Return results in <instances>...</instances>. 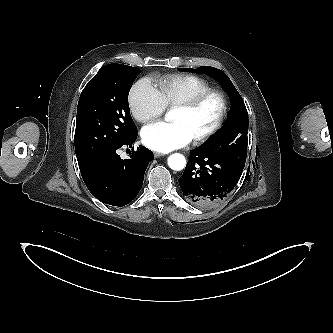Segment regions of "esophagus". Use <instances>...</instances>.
Segmentation results:
<instances>
[{
	"label": "esophagus",
	"mask_w": 333,
	"mask_h": 333,
	"mask_svg": "<svg viewBox=\"0 0 333 333\" xmlns=\"http://www.w3.org/2000/svg\"><path fill=\"white\" fill-rule=\"evenodd\" d=\"M161 156H164L162 153H159V152H154V157L155 158H159Z\"/></svg>",
	"instance_id": "esophagus-1"
}]
</instances>
